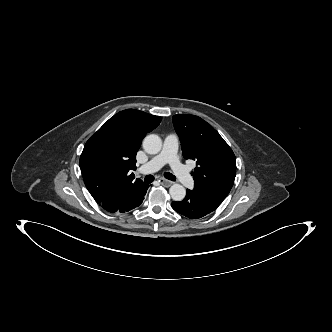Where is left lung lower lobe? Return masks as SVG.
<instances>
[{"mask_svg": "<svg viewBox=\"0 0 332 332\" xmlns=\"http://www.w3.org/2000/svg\"><path fill=\"white\" fill-rule=\"evenodd\" d=\"M172 208L190 219H199L215 211L218 206L199 194L187 190L184 200L172 202Z\"/></svg>", "mask_w": 332, "mask_h": 332, "instance_id": "0a47b994", "label": "left lung lower lobe"}]
</instances>
